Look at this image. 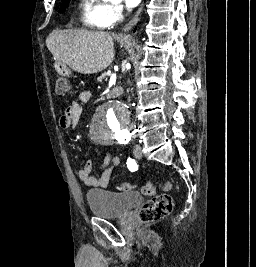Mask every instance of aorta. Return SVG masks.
<instances>
[{"label": "aorta", "instance_id": "obj_1", "mask_svg": "<svg viewBox=\"0 0 256 267\" xmlns=\"http://www.w3.org/2000/svg\"><path fill=\"white\" fill-rule=\"evenodd\" d=\"M97 108V117H92L93 127H132L130 108L120 101H103ZM118 133H127V128H90L89 138L94 143H115Z\"/></svg>", "mask_w": 256, "mask_h": 267}]
</instances>
